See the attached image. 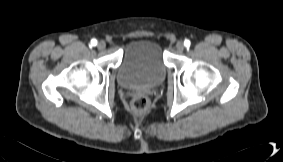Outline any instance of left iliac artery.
<instances>
[{
    "label": "left iliac artery",
    "mask_w": 283,
    "mask_h": 162,
    "mask_svg": "<svg viewBox=\"0 0 283 162\" xmlns=\"http://www.w3.org/2000/svg\"><path fill=\"white\" fill-rule=\"evenodd\" d=\"M190 44H191V42H190L188 39H186V40L184 41V45H185L186 47H189Z\"/></svg>",
    "instance_id": "1"
}]
</instances>
